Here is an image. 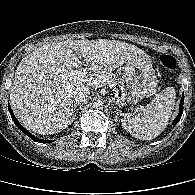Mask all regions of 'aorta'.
Masks as SVG:
<instances>
[{
  "mask_svg": "<svg viewBox=\"0 0 195 195\" xmlns=\"http://www.w3.org/2000/svg\"><path fill=\"white\" fill-rule=\"evenodd\" d=\"M104 104H105L104 100L99 97V98H97V99L94 100L93 106L95 108L101 109V108L104 107Z\"/></svg>",
  "mask_w": 195,
  "mask_h": 195,
  "instance_id": "1",
  "label": "aorta"
}]
</instances>
